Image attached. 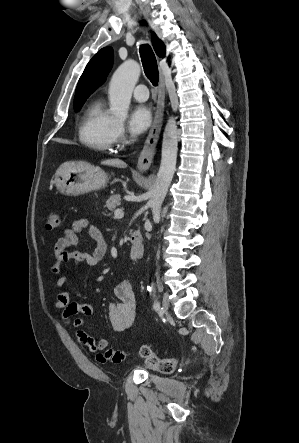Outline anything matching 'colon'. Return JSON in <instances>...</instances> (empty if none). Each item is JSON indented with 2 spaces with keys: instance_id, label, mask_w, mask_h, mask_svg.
<instances>
[{
  "instance_id": "colon-1",
  "label": "colon",
  "mask_w": 299,
  "mask_h": 443,
  "mask_svg": "<svg viewBox=\"0 0 299 443\" xmlns=\"http://www.w3.org/2000/svg\"><path fill=\"white\" fill-rule=\"evenodd\" d=\"M60 224V218L56 211L49 210L46 214L45 228L47 230H54ZM140 356L156 371L161 373L173 372L176 367V360L173 358L160 357L153 349L143 344L139 350Z\"/></svg>"
}]
</instances>
